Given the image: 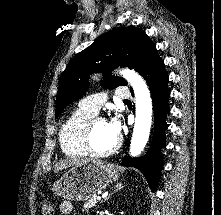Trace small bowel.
<instances>
[{"label":"small bowel","mask_w":221,"mask_h":215,"mask_svg":"<svg viewBox=\"0 0 221 215\" xmlns=\"http://www.w3.org/2000/svg\"><path fill=\"white\" fill-rule=\"evenodd\" d=\"M60 208L63 214H71L73 212V206L69 202L62 203Z\"/></svg>","instance_id":"1"}]
</instances>
